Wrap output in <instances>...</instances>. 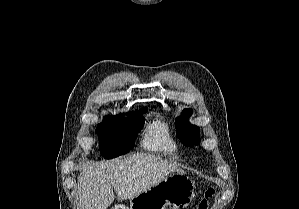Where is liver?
Listing matches in <instances>:
<instances>
[{
    "instance_id": "6515ba94",
    "label": "liver",
    "mask_w": 299,
    "mask_h": 209,
    "mask_svg": "<svg viewBox=\"0 0 299 209\" xmlns=\"http://www.w3.org/2000/svg\"><path fill=\"white\" fill-rule=\"evenodd\" d=\"M173 173L184 171L151 154L89 165L78 178L80 209H107L115 198L113 188L118 198L131 199Z\"/></svg>"
}]
</instances>
